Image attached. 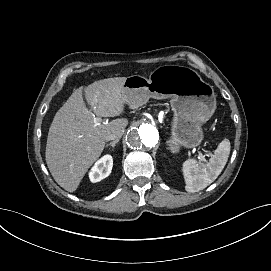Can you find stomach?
Returning <instances> with one entry per match:
<instances>
[{
  "label": "stomach",
  "mask_w": 271,
  "mask_h": 271,
  "mask_svg": "<svg viewBox=\"0 0 271 271\" xmlns=\"http://www.w3.org/2000/svg\"><path fill=\"white\" fill-rule=\"evenodd\" d=\"M171 98L174 111L170 150L193 148L203 140L201 126L214 114L216 95L213 87L204 82L193 69L166 65L155 69L149 78L133 75L126 79L121 98L131 108L145 104L149 98Z\"/></svg>",
  "instance_id": "stomach-1"
}]
</instances>
